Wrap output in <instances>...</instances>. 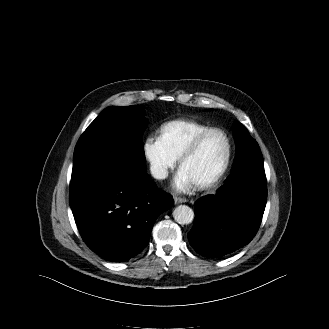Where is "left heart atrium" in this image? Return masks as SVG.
Returning <instances> with one entry per match:
<instances>
[{
	"label": "left heart atrium",
	"instance_id": "left-heart-atrium-1",
	"mask_svg": "<svg viewBox=\"0 0 329 329\" xmlns=\"http://www.w3.org/2000/svg\"><path fill=\"white\" fill-rule=\"evenodd\" d=\"M173 185L179 192H189L196 187L194 181L181 169L175 176Z\"/></svg>",
	"mask_w": 329,
	"mask_h": 329
}]
</instances>
